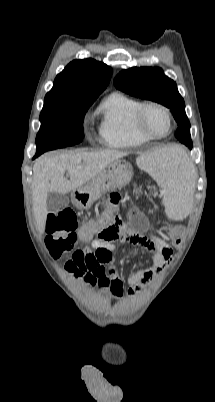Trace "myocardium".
<instances>
[{"mask_svg":"<svg viewBox=\"0 0 215 402\" xmlns=\"http://www.w3.org/2000/svg\"><path fill=\"white\" fill-rule=\"evenodd\" d=\"M149 108H157V109L161 110L162 112H164V114L166 115L167 120H168V129L165 133L154 134L147 129L145 122H144V115H145L146 110ZM134 123H135L136 130L143 137L148 138L150 140L162 139L171 133L172 126H173V118H172V114H171L170 110L162 103H159L156 101H147V102L141 103V105L136 110L135 117H134Z\"/></svg>","mask_w":215,"mask_h":402,"instance_id":"obj_1","label":"myocardium"}]
</instances>
